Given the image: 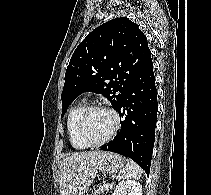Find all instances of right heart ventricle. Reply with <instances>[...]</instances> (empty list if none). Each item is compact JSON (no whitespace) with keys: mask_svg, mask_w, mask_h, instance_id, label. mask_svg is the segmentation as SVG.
<instances>
[{"mask_svg":"<svg viewBox=\"0 0 211 195\" xmlns=\"http://www.w3.org/2000/svg\"><path fill=\"white\" fill-rule=\"evenodd\" d=\"M88 107V103L82 100L73 106L67 116V131L71 145L77 150L87 148L77 135V122L82 112Z\"/></svg>","mask_w":211,"mask_h":195,"instance_id":"right-heart-ventricle-1","label":"right heart ventricle"}]
</instances>
